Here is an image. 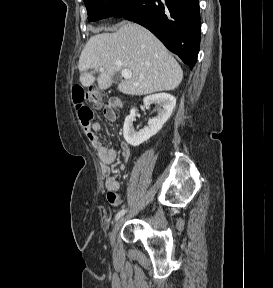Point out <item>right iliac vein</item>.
I'll return each mask as SVG.
<instances>
[{
  "mask_svg": "<svg viewBox=\"0 0 273 288\" xmlns=\"http://www.w3.org/2000/svg\"><path fill=\"white\" fill-rule=\"evenodd\" d=\"M124 221H125V217H121L115 223V225L111 231V234H110V241L112 244L115 242L116 234H117L118 230L120 229V227L123 225Z\"/></svg>",
  "mask_w": 273,
  "mask_h": 288,
  "instance_id": "obj_1",
  "label": "right iliac vein"
}]
</instances>
